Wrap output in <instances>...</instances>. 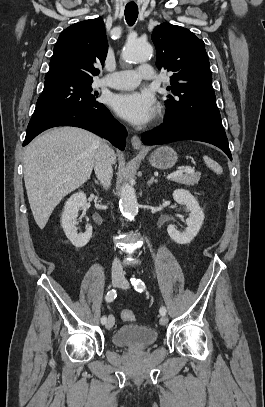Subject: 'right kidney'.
I'll list each match as a JSON object with an SVG mask.
<instances>
[{
	"instance_id": "ca27d5eb",
	"label": "right kidney",
	"mask_w": 265,
	"mask_h": 407,
	"mask_svg": "<svg viewBox=\"0 0 265 407\" xmlns=\"http://www.w3.org/2000/svg\"><path fill=\"white\" fill-rule=\"evenodd\" d=\"M87 199L84 192L73 194L65 203L64 211L61 216V226L65 232L66 237L76 247H84L92 236V227H87L84 233L78 234L77 232V217L80 208L86 206Z\"/></svg>"
}]
</instances>
